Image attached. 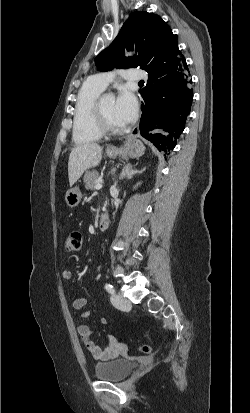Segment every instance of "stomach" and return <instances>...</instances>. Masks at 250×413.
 Masks as SVG:
<instances>
[{
  "mask_svg": "<svg viewBox=\"0 0 250 413\" xmlns=\"http://www.w3.org/2000/svg\"><path fill=\"white\" fill-rule=\"evenodd\" d=\"M144 151L145 147L140 140L136 138H129L126 140L124 146L121 149H118L114 152L108 150L107 156L115 158L119 154H124L131 158H137L143 155ZM81 199L82 193L79 187L71 188L66 192L65 201L71 208L78 206V204L81 202Z\"/></svg>",
  "mask_w": 250,
  "mask_h": 413,
  "instance_id": "1",
  "label": "stomach"
}]
</instances>
